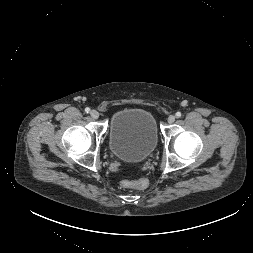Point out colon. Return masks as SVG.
Instances as JSON below:
<instances>
[{"label":"colon","mask_w":253,"mask_h":253,"mask_svg":"<svg viewBox=\"0 0 253 253\" xmlns=\"http://www.w3.org/2000/svg\"><path fill=\"white\" fill-rule=\"evenodd\" d=\"M121 186L123 188H130V189H138V190H143L147 188L148 186V181L146 179H138L136 181H122Z\"/></svg>","instance_id":"obj_1"}]
</instances>
